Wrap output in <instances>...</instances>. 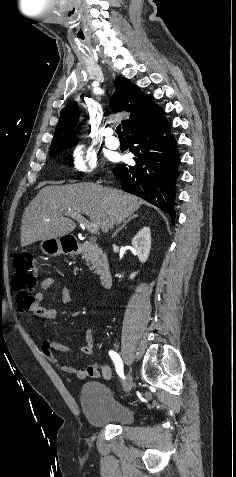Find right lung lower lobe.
Instances as JSON below:
<instances>
[{"label": "right lung lower lobe", "instance_id": "98d812e1", "mask_svg": "<svg viewBox=\"0 0 236 477\" xmlns=\"http://www.w3.org/2000/svg\"><path fill=\"white\" fill-rule=\"evenodd\" d=\"M168 130V122L162 116L154 124L130 132L126 139L136 164H119L113 169V174L120 179L124 191L161 208L174 220L173 200L179 154L175 148L176 141L167 134Z\"/></svg>", "mask_w": 236, "mask_h": 477}]
</instances>
